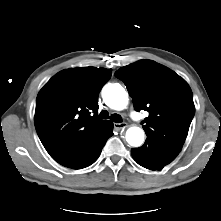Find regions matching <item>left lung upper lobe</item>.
<instances>
[{"mask_svg":"<svg viewBox=\"0 0 221 221\" xmlns=\"http://www.w3.org/2000/svg\"><path fill=\"white\" fill-rule=\"evenodd\" d=\"M132 97L136 111H148L142 127L147 139L177 153L182 149L195 114L187 82L152 60H140L115 72Z\"/></svg>","mask_w":221,"mask_h":221,"instance_id":"obj_1","label":"left lung upper lobe"}]
</instances>
